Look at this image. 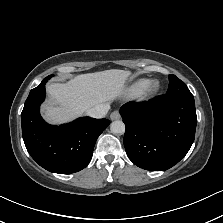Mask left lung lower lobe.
Masks as SVG:
<instances>
[{
  "mask_svg": "<svg viewBox=\"0 0 223 223\" xmlns=\"http://www.w3.org/2000/svg\"><path fill=\"white\" fill-rule=\"evenodd\" d=\"M126 126L124 146L138 167L163 171L189 151L197 124L193 95L164 94L120 109Z\"/></svg>",
  "mask_w": 223,
  "mask_h": 223,
  "instance_id": "1",
  "label": "left lung lower lobe"
}]
</instances>
